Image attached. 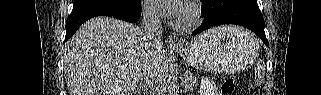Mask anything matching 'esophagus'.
Here are the masks:
<instances>
[{
    "instance_id": "1",
    "label": "esophagus",
    "mask_w": 321,
    "mask_h": 95,
    "mask_svg": "<svg viewBox=\"0 0 321 95\" xmlns=\"http://www.w3.org/2000/svg\"><path fill=\"white\" fill-rule=\"evenodd\" d=\"M166 43H167V46H168V47H173V48H175V47H182L181 41H179V39L176 38L175 36H169V37L167 38Z\"/></svg>"
}]
</instances>
